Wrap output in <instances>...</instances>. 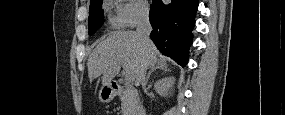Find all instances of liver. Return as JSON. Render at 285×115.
<instances>
[{"label":"liver","instance_id":"6515ba94","mask_svg":"<svg viewBox=\"0 0 285 115\" xmlns=\"http://www.w3.org/2000/svg\"><path fill=\"white\" fill-rule=\"evenodd\" d=\"M158 50L150 41L143 45L136 32L113 31L99 43L89 56L87 68L90 82L102 75V84L108 85L125 64L139 84L142 68H153L158 62Z\"/></svg>","mask_w":285,"mask_h":115}]
</instances>
